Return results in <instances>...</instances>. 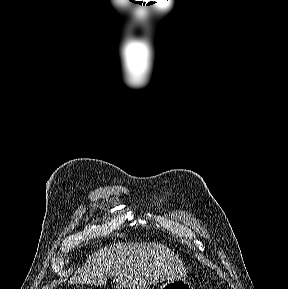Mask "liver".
Listing matches in <instances>:
<instances>
[{
    "instance_id": "obj_1",
    "label": "liver",
    "mask_w": 288,
    "mask_h": 289,
    "mask_svg": "<svg viewBox=\"0 0 288 289\" xmlns=\"http://www.w3.org/2000/svg\"><path fill=\"white\" fill-rule=\"evenodd\" d=\"M185 276L183 262L167 246L155 242H118L89 256L69 283L102 286L108 277H113L120 289H145Z\"/></svg>"
}]
</instances>
